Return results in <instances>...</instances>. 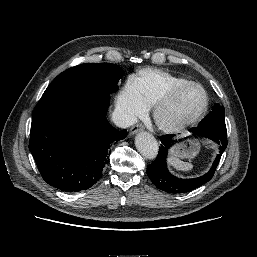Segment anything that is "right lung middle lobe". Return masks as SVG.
I'll return each instance as SVG.
<instances>
[{
    "label": "right lung middle lobe",
    "instance_id": "right-lung-middle-lobe-1",
    "mask_svg": "<svg viewBox=\"0 0 257 257\" xmlns=\"http://www.w3.org/2000/svg\"><path fill=\"white\" fill-rule=\"evenodd\" d=\"M123 70L115 64H82L59 74L47 87L42 97L62 92L93 91L111 94L118 90Z\"/></svg>",
    "mask_w": 257,
    "mask_h": 257
}]
</instances>
